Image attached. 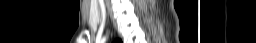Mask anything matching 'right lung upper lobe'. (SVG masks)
Instances as JSON below:
<instances>
[{"instance_id": "right-lung-upper-lobe-1", "label": "right lung upper lobe", "mask_w": 256, "mask_h": 43, "mask_svg": "<svg viewBox=\"0 0 256 43\" xmlns=\"http://www.w3.org/2000/svg\"><path fill=\"white\" fill-rule=\"evenodd\" d=\"M115 43H121V40H117V41H115Z\"/></svg>"}]
</instances>
